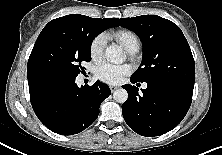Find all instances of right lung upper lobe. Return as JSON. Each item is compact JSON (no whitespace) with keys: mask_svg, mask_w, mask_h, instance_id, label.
I'll return each mask as SVG.
<instances>
[{"mask_svg":"<svg viewBox=\"0 0 222 155\" xmlns=\"http://www.w3.org/2000/svg\"><path fill=\"white\" fill-rule=\"evenodd\" d=\"M84 17L88 16L72 14L60 18H84ZM117 19L118 18H104L99 20L110 28L118 26ZM27 77H28L30 97L36 96L39 98H47L50 95L51 92L50 80L36 74L30 68H27Z\"/></svg>","mask_w":222,"mask_h":155,"instance_id":"cb5924a9","label":"right lung upper lobe"}]
</instances>
